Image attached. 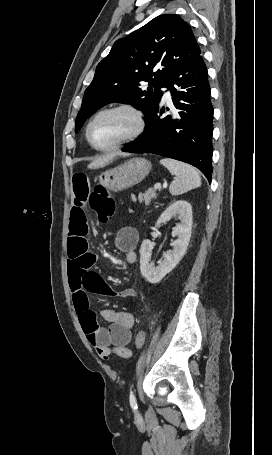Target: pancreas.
I'll return each instance as SVG.
<instances>
[{
	"label": "pancreas",
	"instance_id": "obj_1",
	"mask_svg": "<svg viewBox=\"0 0 272 455\" xmlns=\"http://www.w3.org/2000/svg\"><path fill=\"white\" fill-rule=\"evenodd\" d=\"M157 193L154 189L149 188L145 193H140L138 196V200L140 203L144 202L145 205H149L153 199H155ZM132 200L135 202L136 198L133 196Z\"/></svg>",
	"mask_w": 272,
	"mask_h": 455
}]
</instances>
